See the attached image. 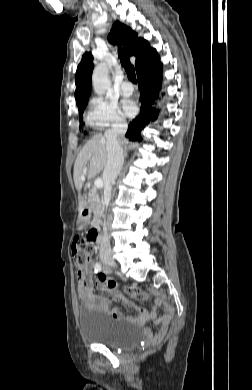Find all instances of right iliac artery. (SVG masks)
Here are the masks:
<instances>
[{"label":"right iliac artery","mask_w":252,"mask_h":390,"mask_svg":"<svg viewBox=\"0 0 252 390\" xmlns=\"http://www.w3.org/2000/svg\"><path fill=\"white\" fill-rule=\"evenodd\" d=\"M101 269H102L101 264L97 262V263L95 264V272H100Z\"/></svg>","instance_id":"82829eb1"}]
</instances>
